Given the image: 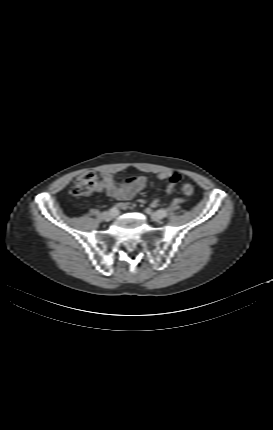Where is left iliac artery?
I'll list each match as a JSON object with an SVG mask.
<instances>
[{
    "label": "left iliac artery",
    "instance_id": "1",
    "mask_svg": "<svg viewBox=\"0 0 273 430\" xmlns=\"http://www.w3.org/2000/svg\"><path fill=\"white\" fill-rule=\"evenodd\" d=\"M177 200H178V202L181 203V202H183L184 199H183V197L180 196V197H178ZM173 205H175V204H173ZM172 206H170L166 209H160L157 212L160 214L161 217H166L169 214L170 210L172 209Z\"/></svg>",
    "mask_w": 273,
    "mask_h": 430
}]
</instances>
